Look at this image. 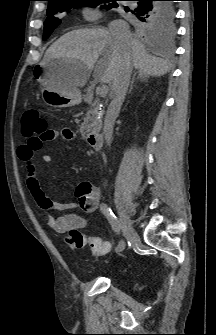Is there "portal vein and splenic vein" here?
<instances>
[{"label":"portal vein and splenic vein","mask_w":216,"mask_h":335,"mask_svg":"<svg viewBox=\"0 0 216 335\" xmlns=\"http://www.w3.org/2000/svg\"><path fill=\"white\" fill-rule=\"evenodd\" d=\"M100 97H105L108 93V86L107 85H103L99 91H98Z\"/></svg>","instance_id":"18ae733b"}]
</instances>
